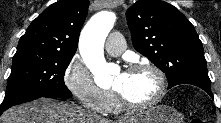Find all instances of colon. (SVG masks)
Listing matches in <instances>:
<instances>
[{
  "label": "colon",
  "mask_w": 221,
  "mask_h": 123,
  "mask_svg": "<svg viewBox=\"0 0 221 123\" xmlns=\"http://www.w3.org/2000/svg\"><path fill=\"white\" fill-rule=\"evenodd\" d=\"M190 123H204V121L201 118L194 117L190 120Z\"/></svg>",
  "instance_id": "obj_1"
}]
</instances>
